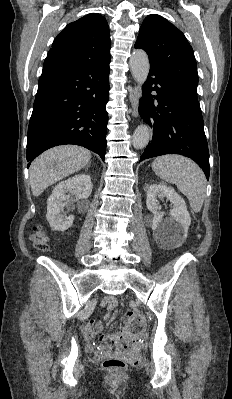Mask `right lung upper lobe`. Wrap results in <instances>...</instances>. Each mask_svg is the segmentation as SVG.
<instances>
[{
    "label": "right lung upper lobe",
    "mask_w": 232,
    "mask_h": 399,
    "mask_svg": "<svg viewBox=\"0 0 232 399\" xmlns=\"http://www.w3.org/2000/svg\"><path fill=\"white\" fill-rule=\"evenodd\" d=\"M107 21L97 13L68 24L55 38L43 67H69L105 61L110 56Z\"/></svg>",
    "instance_id": "cb5924a9"
}]
</instances>
